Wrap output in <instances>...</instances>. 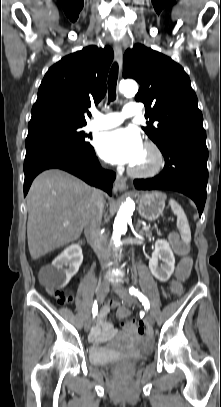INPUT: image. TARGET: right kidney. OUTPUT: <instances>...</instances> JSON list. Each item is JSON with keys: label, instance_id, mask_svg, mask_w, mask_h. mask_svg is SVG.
<instances>
[{"label": "right kidney", "instance_id": "1", "mask_svg": "<svg viewBox=\"0 0 221 407\" xmlns=\"http://www.w3.org/2000/svg\"><path fill=\"white\" fill-rule=\"evenodd\" d=\"M83 261L82 249L79 245L73 244L67 247L52 262L54 268L51 279L60 288L65 287L71 278L78 272ZM64 266L68 268H64Z\"/></svg>", "mask_w": 221, "mask_h": 407}]
</instances>
